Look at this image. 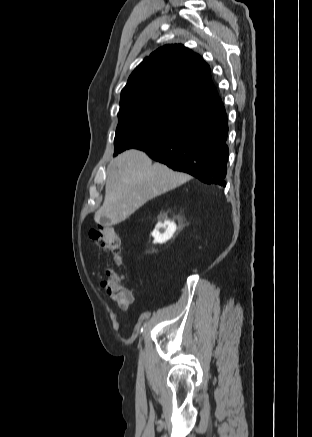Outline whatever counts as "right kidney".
Masks as SVG:
<instances>
[{"mask_svg":"<svg viewBox=\"0 0 312 437\" xmlns=\"http://www.w3.org/2000/svg\"><path fill=\"white\" fill-rule=\"evenodd\" d=\"M176 231V225L174 222L165 221L164 223L159 222L154 231L152 232V236L154 237V243H164L169 240L174 232Z\"/></svg>","mask_w":312,"mask_h":437,"instance_id":"right-kidney-1","label":"right kidney"}]
</instances>
